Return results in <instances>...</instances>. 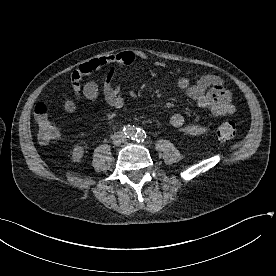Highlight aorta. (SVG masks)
I'll list each match as a JSON object with an SVG mask.
<instances>
[{"label": "aorta", "instance_id": "aorta-1", "mask_svg": "<svg viewBox=\"0 0 276 276\" xmlns=\"http://www.w3.org/2000/svg\"><path fill=\"white\" fill-rule=\"evenodd\" d=\"M144 132H142V131H139V132H134L133 134H132V136L133 137H136V138H139V139H143L144 138Z\"/></svg>", "mask_w": 276, "mask_h": 276}]
</instances>
